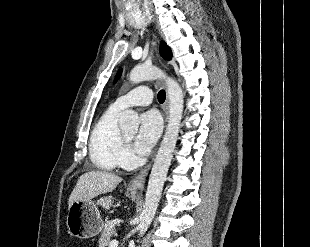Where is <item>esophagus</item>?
I'll list each match as a JSON object with an SVG mask.
<instances>
[{"label":"esophagus","instance_id":"1","mask_svg":"<svg viewBox=\"0 0 310 247\" xmlns=\"http://www.w3.org/2000/svg\"><path fill=\"white\" fill-rule=\"evenodd\" d=\"M164 112H165V123H167L168 120V114H169V98L168 93L166 95V100L164 103ZM151 163H149L145 168H143L137 175H135L129 182V189L134 192H140L144 186L146 177L148 175V172L150 170Z\"/></svg>","mask_w":310,"mask_h":247}]
</instances>
